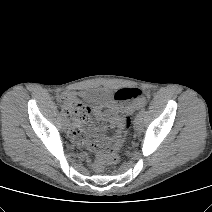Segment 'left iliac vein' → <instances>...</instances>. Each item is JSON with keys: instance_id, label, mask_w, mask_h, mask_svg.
Instances as JSON below:
<instances>
[{"instance_id": "1", "label": "left iliac vein", "mask_w": 212, "mask_h": 212, "mask_svg": "<svg viewBox=\"0 0 212 212\" xmlns=\"http://www.w3.org/2000/svg\"><path fill=\"white\" fill-rule=\"evenodd\" d=\"M142 128V116L140 114H138L136 117H135V120H134V129L136 131H140Z\"/></svg>"}]
</instances>
